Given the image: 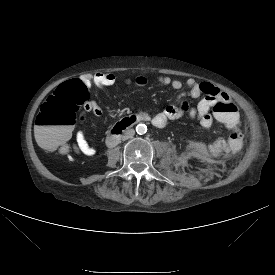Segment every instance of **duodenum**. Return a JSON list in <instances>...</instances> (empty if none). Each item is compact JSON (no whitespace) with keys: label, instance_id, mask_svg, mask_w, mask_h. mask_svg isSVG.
I'll use <instances>...</instances> for the list:
<instances>
[{"label":"duodenum","instance_id":"duodenum-1","mask_svg":"<svg viewBox=\"0 0 275 275\" xmlns=\"http://www.w3.org/2000/svg\"><path fill=\"white\" fill-rule=\"evenodd\" d=\"M140 121H145L144 116L132 115L116 122L110 129V132L106 138V145L108 147L117 145L122 133Z\"/></svg>","mask_w":275,"mask_h":275}]
</instances>
